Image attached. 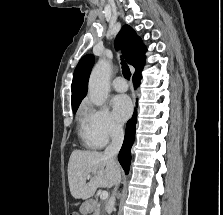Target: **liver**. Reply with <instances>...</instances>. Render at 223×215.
Listing matches in <instances>:
<instances>
[{
	"instance_id": "1",
	"label": "liver",
	"mask_w": 223,
	"mask_h": 215,
	"mask_svg": "<svg viewBox=\"0 0 223 215\" xmlns=\"http://www.w3.org/2000/svg\"><path fill=\"white\" fill-rule=\"evenodd\" d=\"M120 171L118 163L110 157H104L101 151H81L74 149L68 161V181L71 195L79 199H87L94 195L97 187H111L115 183V175ZM95 173L90 181L87 175Z\"/></svg>"
}]
</instances>
